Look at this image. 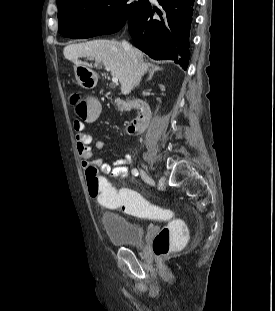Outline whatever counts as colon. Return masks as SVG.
Wrapping results in <instances>:
<instances>
[{
    "instance_id": "1",
    "label": "colon",
    "mask_w": 275,
    "mask_h": 311,
    "mask_svg": "<svg viewBox=\"0 0 275 311\" xmlns=\"http://www.w3.org/2000/svg\"><path fill=\"white\" fill-rule=\"evenodd\" d=\"M71 103L79 114V121H84L86 125H91L93 121H96L102 111L98 97L75 95ZM87 182L89 195L97 202L121 207L133 215L153 216L167 221L153 239V252L157 258L165 257L171 251L184 245L186 226L181 220L174 218V212L171 209L152 205L139 196L138 190H116V186L111 185V178L98 175L95 167L87 170Z\"/></svg>"
}]
</instances>
